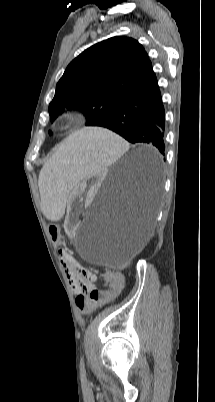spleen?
<instances>
[{
  "label": "spleen",
  "instance_id": "3e777b00",
  "mask_svg": "<svg viewBox=\"0 0 215 402\" xmlns=\"http://www.w3.org/2000/svg\"><path fill=\"white\" fill-rule=\"evenodd\" d=\"M127 147L108 128H77L75 134L59 145L41 175V207L47 218L60 219L66 209L65 193L71 192V185L80 183L97 169L106 172V167Z\"/></svg>",
  "mask_w": 215,
  "mask_h": 402
}]
</instances>
